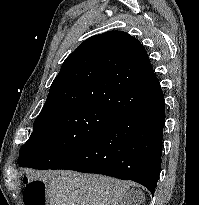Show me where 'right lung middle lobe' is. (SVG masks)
I'll use <instances>...</instances> for the list:
<instances>
[{"label": "right lung middle lobe", "instance_id": "right-lung-middle-lobe-1", "mask_svg": "<svg viewBox=\"0 0 199 205\" xmlns=\"http://www.w3.org/2000/svg\"><path fill=\"white\" fill-rule=\"evenodd\" d=\"M117 118L91 106L41 111L30 138L20 149L18 164L39 170L50 169L95 140Z\"/></svg>", "mask_w": 199, "mask_h": 205}]
</instances>
